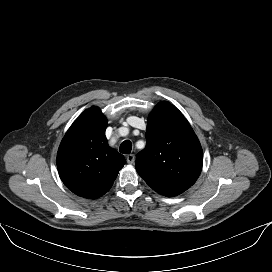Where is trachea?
Here are the masks:
<instances>
[{
  "instance_id": "3493384b",
  "label": "trachea",
  "mask_w": 272,
  "mask_h": 272,
  "mask_svg": "<svg viewBox=\"0 0 272 272\" xmlns=\"http://www.w3.org/2000/svg\"><path fill=\"white\" fill-rule=\"evenodd\" d=\"M132 149V143L129 140H125L121 143L119 151L123 154H129Z\"/></svg>"
}]
</instances>
